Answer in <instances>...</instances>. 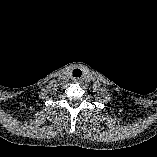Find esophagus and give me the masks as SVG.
I'll use <instances>...</instances> for the list:
<instances>
[{
  "label": "esophagus",
  "mask_w": 157,
  "mask_h": 157,
  "mask_svg": "<svg viewBox=\"0 0 157 157\" xmlns=\"http://www.w3.org/2000/svg\"><path fill=\"white\" fill-rule=\"evenodd\" d=\"M73 81H74V83H77V84L81 83V79L80 78H74Z\"/></svg>",
  "instance_id": "34e87169"
}]
</instances>
